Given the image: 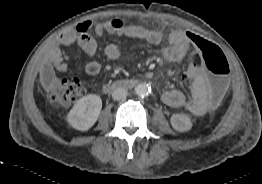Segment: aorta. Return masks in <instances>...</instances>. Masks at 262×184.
<instances>
[{
  "label": "aorta",
  "mask_w": 262,
  "mask_h": 184,
  "mask_svg": "<svg viewBox=\"0 0 262 184\" xmlns=\"http://www.w3.org/2000/svg\"><path fill=\"white\" fill-rule=\"evenodd\" d=\"M150 92V87L145 83H140L135 87V93L138 96H146Z\"/></svg>",
  "instance_id": "762f6f07"
}]
</instances>
